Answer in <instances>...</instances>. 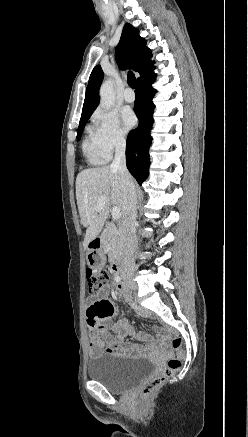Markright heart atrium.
I'll use <instances>...</instances> for the list:
<instances>
[{"label":"right heart atrium","mask_w":248,"mask_h":437,"mask_svg":"<svg viewBox=\"0 0 248 437\" xmlns=\"http://www.w3.org/2000/svg\"><path fill=\"white\" fill-rule=\"evenodd\" d=\"M91 132L98 150L108 159L126 144V136L113 112L97 109L91 117Z\"/></svg>","instance_id":"right-heart-atrium-1"}]
</instances>
